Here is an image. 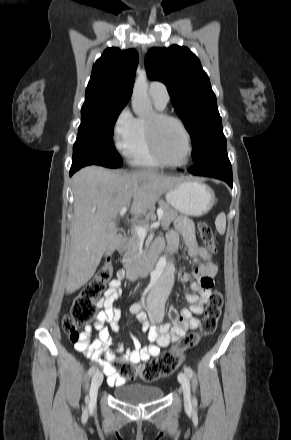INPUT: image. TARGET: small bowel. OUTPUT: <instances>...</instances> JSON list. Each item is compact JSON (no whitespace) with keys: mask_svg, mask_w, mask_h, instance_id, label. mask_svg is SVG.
<instances>
[{"mask_svg":"<svg viewBox=\"0 0 291 440\" xmlns=\"http://www.w3.org/2000/svg\"><path fill=\"white\" fill-rule=\"evenodd\" d=\"M181 237L191 256L200 261L191 274L182 275V280L188 281L194 278L195 281L190 284V289L198 291L199 295L187 292L186 300L191 304L190 307L183 308L179 312L174 308L169 310V315L173 320L172 327L167 325L149 326L147 316L143 312H137V320L142 323L144 329H148L149 344L142 345L140 340L130 333L134 342L133 349H125L121 343L112 348L115 341L111 337L110 331L118 333L121 330L119 325L120 311L113 307V303L121 296L120 286L124 278V271H119L116 278L109 283L104 297L99 302V307L102 310L98 313L94 324L84 328L83 342H76L74 345L77 351L82 352L102 367L110 386H121L126 383V377L120 374L114 365L115 363H132L140 369L147 361L157 357L162 348L176 342L185 335L187 330H195L200 325L197 316L203 312L210 297L205 282L217 274L218 267L212 261L209 252L197 242L194 225L186 218H180L177 221L176 229L167 233L166 244L163 240H157L154 244V250L158 253L163 250L174 253L179 247ZM106 323H109V327L106 326ZM93 328L99 330V339L89 343ZM102 351L106 354L105 359L100 358Z\"/></svg>","mask_w":291,"mask_h":440,"instance_id":"1","label":"small bowel"}]
</instances>
